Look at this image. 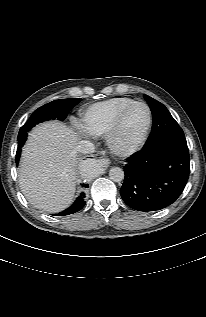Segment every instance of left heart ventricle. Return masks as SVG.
Instances as JSON below:
<instances>
[{
    "instance_id": "obj_1",
    "label": "left heart ventricle",
    "mask_w": 206,
    "mask_h": 317,
    "mask_svg": "<svg viewBox=\"0 0 206 317\" xmlns=\"http://www.w3.org/2000/svg\"><path fill=\"white\" fill-rule=\"evenodd\" d=\"M147 124V110L143 105H135L124 116L116 141L121 146H131L141 137Z\"/></svg>"
}]
</instances>
